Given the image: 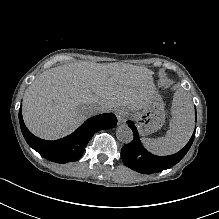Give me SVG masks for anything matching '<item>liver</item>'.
I'll list each match as a JSON object with an SVG mask.
<instances>
[{
  "label": "liver",
  "instance_id": "obj_1",
  "mask_svg": "<svg viewBox=\"0 0 219 219\" xmlns=\"http://www.w3.org/2000/svg\"><path fill=\"white\" fill-rule=\"evenodd\" d=\"M152 74L147 68L119 63H68L45 70L24 93V122L37 137L63 138L93 115L91 104L108 112L142 108L152 92Z\"/></svg>",
  "mask_w": 219,
  "mask_h": 219
}]
</instances>
